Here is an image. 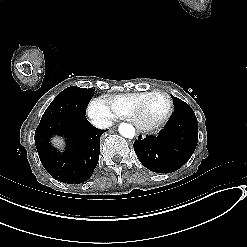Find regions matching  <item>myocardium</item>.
Listing matches in <instances>:
<instances>
[{
	"mask_svg": "<svg viewBox=\"0 0 247 247\" xmlns=\"http://www.w3.org/2000/svg\"><path fill=\"white\" fill-rule=\"evenodd\" d=\"M154 96H162L166 99V104L162 112L156 116L152 117L147 113V102ZM137 111L140 117V129L141 130H152L161 126L170 116L172 111V99L171 97L159 90L151 91L145 97V99L138 103Z\"/></svg>",
	"mask_w": 247,
	"mask_h": 247,
	"instance_id": "1",
	"label": "myocardium"
}]
</instances>
